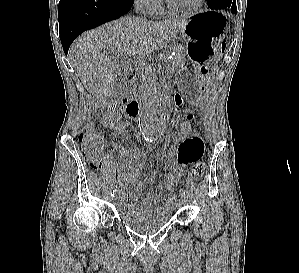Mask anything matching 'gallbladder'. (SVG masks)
<instances>
[{
    "label": "gallbladder",
    "mask_w": 299,
    "mask_h": 273,
    "mask_svg": "<svg viewBox=\"0 0 299 273\" xmlns=\"http://www.w3.org/2000/svg\"><path fill=\"white\" fill-rule=\"evenodd\" d=\"M129 68H130L129 65H127L126 62L120 61V66L116 70L113 78V82L117 85V88L119 89L118 93L120 92V88L124 85V77L127 74ZM111 96L115 97L117 95L112 93Z\"/></svg>",
    "instance_id": "gallbladder-1"
}]
</instances>
